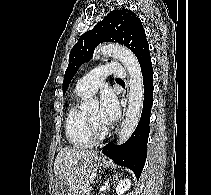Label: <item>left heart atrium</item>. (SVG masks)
Masks as SVG:
<instances>
[{"label": "left heart atrium", "instance_id": "39dd6f15", "mask_svg": "<svg viewBox=\"0 0 211 195\" xmlns=\"http://www.w3.org/2000/svg\"><path fill=\"white\" fill-rule=\"evenodd\" d=\"M119 116V105L111 92H104L101 96L99 120L105 126H111Z\"/></svg>", "mask_w": 211, "mask_h": 195}]
</instances>
